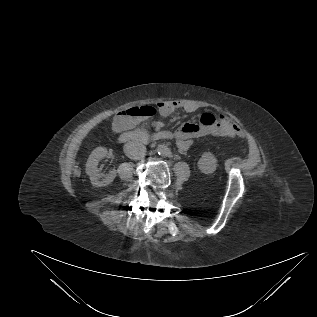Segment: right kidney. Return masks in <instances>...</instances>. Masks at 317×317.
<instances>
[{
    "label": "right kidney",
    "instance_id": "right-kidney-1",
    "mask_svg": "<svg viewBox=\"0 0 317 317\" xmlns=\"http://www.w3.org/2000/svg\"><path fill=\"white\" fill-rule=\"evenodd\" d=\"M107 155L105 147L95 148L86 163V174L90 177L91 184L96 187H103L109 185L116 177V170L110 171L103 175L99 172L97 166L101 159Z\"/></svg>",
    "mask_w": 317,
    "mask_h": 317
}]
</instances>
